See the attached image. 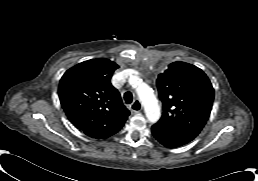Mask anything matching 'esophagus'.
<instances>
[{"label": "esophagus", "mask_w": 258, "mask_h": 181, "mask_svg": "<svg viewBox=\"0 0 258 181\" xmlns=\"http://www.w3.org/2000/svg\"><path fill=\"white\" fill-rule=\"evenodd\" d=\"M142 110V104L140 100H135L131 105V111L134 113H138Z\"/></svg>", "instance_id": "1"}]
</instances>
